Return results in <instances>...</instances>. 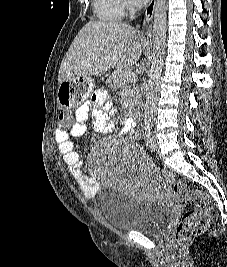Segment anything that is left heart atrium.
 I'll return each instance as SVG.
<instances>
[{
    "label": "left heart atrium",
    "mask_w": 227,
    "mask_h": 267,
    "mask_svg": "<svg viewBox=\"0 0 227 267\" xmlns=\"http://www.w3.org/2000/svg\"><path fill=\"white\" fill-rule=\"evenodd\" d=\"M138 4L146 3L148 0H134Z\"/></svg>",
    "instance_id": "obj_1"
}]
</instances>
